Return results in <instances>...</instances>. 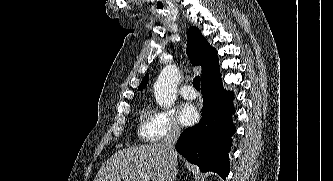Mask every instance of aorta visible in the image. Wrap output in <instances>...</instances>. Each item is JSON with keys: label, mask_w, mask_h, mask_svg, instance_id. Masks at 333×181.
I'll use <instances>...</instances> for the list:
<instances>
[{"label": "aorta", "mask_w": 333, "mask_h": 181, "mask_svg": "<svg viewBox=\"0 0 333 181\" xmlns=\"http://www.w3.org/2000/svg\"><path fill=\"white\" fill-rule=\"evenodd\" d=\"M180 79V73L176 66H165L156 83L154 84V95L159 106L171 107L177 98V84Z\"/></svg>", "instance_id": "obj_1"}]
</instances>
